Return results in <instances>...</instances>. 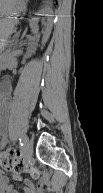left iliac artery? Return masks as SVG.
<instances>
[{
  "mask_svg": "<svg viewBox=\"0 0 103 193\" xmlns=\"http://www.w3.org/2000/svg\"><path fill=\"white\" fill-rule=\"evenodd\" d=\"M19 142H20L21 147L26 146L27 141L25 140V138L23 136L19 137Z\"/></svg>",
  "mask_w": 103,
  "mask_h": 193,
  "instance_id": "left-iliac-artery-1",
  "label": "left iliac artery"
}]
</instances>
